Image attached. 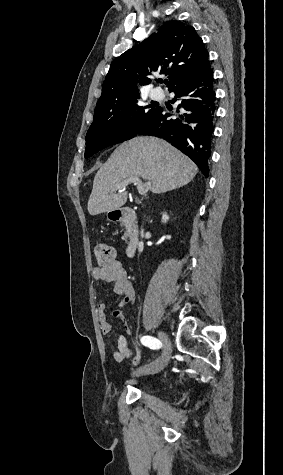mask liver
Segmentation results:
<instances>
[{
	"label": "liver",
	"instance_id": "1",
	"mask_svg": "<svg viewBox=\"0 0 283 475\" xmlns=\"http://www.w3.org/2000/svg\"><path fill=\"white\" fill-rule=\"evenodd\" d=\"M197 172L196 164L165 140L137 136L118 146L98 170L88 200V212L97 216L124 206L127 192L113 194L110 190H115L116 184H122L132 176L149 180L151 192L163 194L186 186Z\"/></svg>",
	"mask_w": 283,
	"mask_h": 475
}]
</instances>
